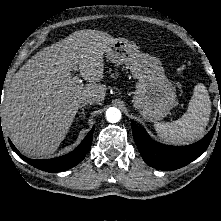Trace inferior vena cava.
<instances>
[{
    "label": "inferior vena cava",
    "mask_w": 221,
    "mask_h": 221,
    "mask_svg": "<svg viewBox=\"0 0 221 221\" xmlns=\"http://www.w3.org/2000/svg\"><path fill=\"white\" fill-rule=\"evenodd\" d=\"M82 103H84V104H87V103H96V100H95V99H85V100H83Z\"/></svg>",
    "instance_id": "602c4592"
}]
</instances>
